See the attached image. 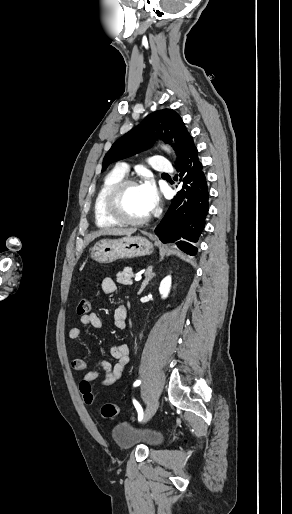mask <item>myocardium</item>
Instances as JSON below:
<instances>
[{"label":"myocardium","mask_w":292,"mask_h":514,"mask_svg":"<svg viewBox=\"0 0 292 514\" xmlns=\"http://www.w3.org/2000/svg\"><path fill=\"white\" fill-rule=\"evenodd\" d=\"M138 183L134 179H122L107 189L103 196V210L105 214L115 223L124 225H141L150 217V211L143 217L137 219L126 218L117 209V199L120 193L130 187H138Z\"/></svg>","instance_id":"f54148a6"}]
</instances>
